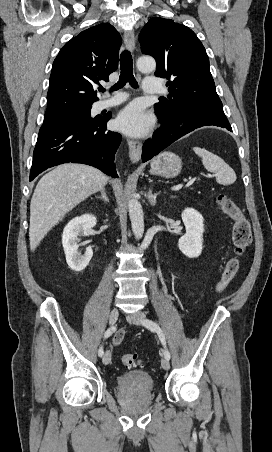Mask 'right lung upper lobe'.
<instances>
[{
  "instance_id": "1",
  "label": "right lung upper lobe",
  "mask_w": 272,
  "mask_h": 452,
  "mask_svg": "<svg viewBox=\"0 0 272 452\" xmlns=\"http://www.w3.org/2000/svg\"><path fill=\"white\" fill-rule=\"evenodd\" d=\"M121 37L108 23L82 31L67 42L53 62L45 115L92 106L100 80L118 67Z\"/></svg>"
}]
</instances>
